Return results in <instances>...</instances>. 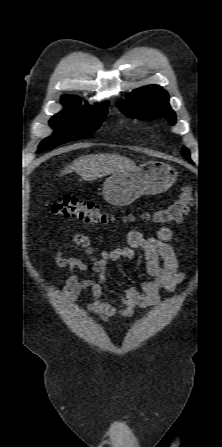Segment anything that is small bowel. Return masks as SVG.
<instances>
[{
    "instance_id": "small-bowel-1",
    "label": "small bowel",
    "mask_w": 222,
    "mask_h": 447,
    "mask_svg": "<svg viewBox=\"0 0 222 447\" xmlns=\"http://www.w3.org/2000/svg\"><path fill=\"white\" fill-rule=\"evenodd\" d=\"M172 232L168 227H160L154 236L146 237L137 230L127 234L128 246L102 251L95 256L91 239L84 234L71 237V243L84 249L89 260L64 257L60 250L54 253L55 263L66 270L67 279L64 288V301L70 304L75 297L86 289H90L93 300L88 311L107 321L114 317H131L137 307L145 308L157 304L160 291H172L184 278L180 271V257L177 249L171 244ZM144 251L146 272L149 280L142 283V292L135 286L126 288L120 300L122 309L102 300L104 287L108 283V272L111 263L129 260L135 257V250ZM163 261V264L160 261ZM76 271L92 272L96 279L79 280Z\"/></svg>"
}]
</instances>
